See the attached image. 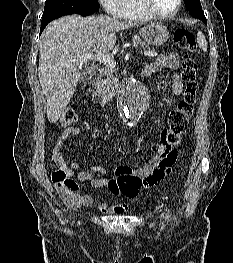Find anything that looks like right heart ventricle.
Returning <instances> with one entry per match:
<instances>
[{"label":"right heart ventricle","mask_w":233,"mask_h":263,"mask_svg":"<svg viewBox=\"0 0 233 263\" xmlns=\"http://www.w3.org/2000/svg\"><path fill=\"white\" fill-rule=\"evenodd\" d=\"M115 15L135 21H149L155 18L143 7L141 0H121Z\"/></svg>","instance_id":"right-heart-ventricle-1"}]
</instances>
